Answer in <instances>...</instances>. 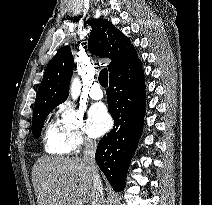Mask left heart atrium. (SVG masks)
<instances>
[{
	"label": "left heart atrium",
	"mask_w": 212,
	"mask_h": 205,
	"mask_svg": "<svg viewBox=\"0 0 212 205\" xmlns=\"http://www.w3.org/2000/svg\"><path fill=\"white\" fill-rule=\"evenodd\" d=\"M88 130L91 136L98 137L111 126V117L102 103L93 104L88 113Z\"/></svg>",
	"instance_id": "1"
}]
</instances>
